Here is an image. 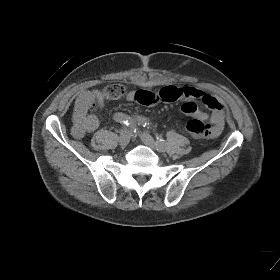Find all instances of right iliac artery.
Returning <instances> with one entry per match:
<instances>
[{
	"label": "right iliac artery",
	"instance_id": "obj_1",
	"mask_svg": "<svg viewBox=\"0 0 280 280\" xmlns=\"http://www.w3.org/2000/svg\"><path fill=\"white\" fill-rule=\"evenodd\" d=\"M114 119L117 122H120V123L128 126L130 129L132 138H136V136L138 134V128H137L135 122L133 121V119H131L130 117H128L127 115H125L123 113H116L114 115Z\"/></svg>",
	"mask_w": 280,
	"mask_h": 280
}]
</instances>
